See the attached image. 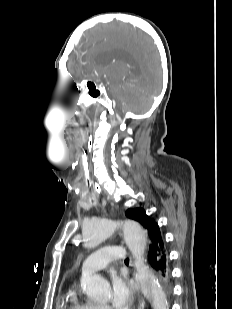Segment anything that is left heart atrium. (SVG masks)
I'll list each match as a JSON object with an SVG mask.
<instances>
[{
    "label": "left heart atrium",
    "instance_id": "left-heart-atrium-1",
    "mask_svg": "<svg viewBox=\"0 0 232 309\" xmlns=\"http://www.w3.org/2000/svg\"><path fill=\"white\" fill-rule=\"evenodd\" d=\"M111 301L116 309H127L133 304L136 291L129 280L122 274L110 275Z\"/></svg>",
    "mask_w": 232,
    "mask_h": 309
}]
</instances>
